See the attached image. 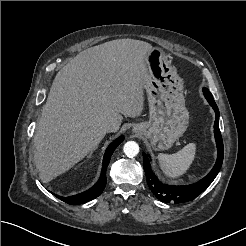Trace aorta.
<instances>
[{
	"label": "aorta",
	"mask_w": 246,
	"mask_h": 246,
	"mask_svg": "<svg viewBox=\"0 0 246 246\" xmlns=\"http://www.w3.org/2000/svg\"><path fill=\"white\" fill-rule=\"evenodd\" d=\"M123 151L127 157H135L139 153V145L135 141H128L125 143Z\"/></svg>",
	"instance_id": "762f6f07"
}]
</instances>
